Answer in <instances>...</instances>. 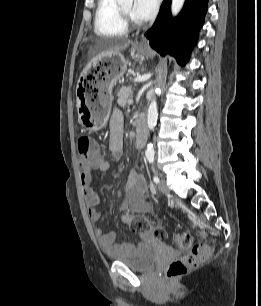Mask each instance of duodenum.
<instances>
[{
    "mask_svg": "<svg viewBox=\"0 0 261 306\" xmlns=\"http://www.w3.org/2000/svg\"><path fill=\"white\" fill-rule=\"evenodd\" d=\"M134 127L136 129L135 145L141 147L146 138V118L143 115H138L134 119Z\"/></svg>",
    "mask_w": 261,
    "mask_h": 306,
    "instance_id": "410a0bca",
    "label": "duodenum"
}]
</instances>
